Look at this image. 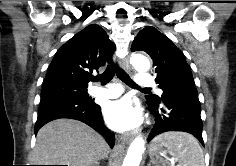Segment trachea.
<instances>
[{"instance_id": "obj_1", "label": "trachea", "mask_w": 236, "mask_h": 166, "mask_svg": "<svg viewBox=\"0 0 236 166\" xmlns=\"http://www.w3.org/2000/svg\"><path fill=\"white\" fill-rule=\"evenodd\" d=\"M117 75V77L124 83H126L128 86L132 88H137L141 89L138 87L134 81L129 77V75L121 70L117 65L111 64L110 66L107 67V69L104 71L102 75L92 77L93 81H100L103 85L107 84L112 80L114 75ZM144 90H150L149 88H144Z\"/></svg>"}]
</instances>
